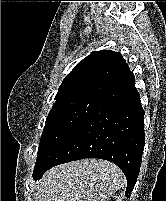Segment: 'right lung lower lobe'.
I'll return each mask as SVG.
<instances>
[{
	"mask_svg": "<svg viewBox=\"0 0 166 201\" xmlns=\"http://www.w3.org/2000/svg\"><path fill=\"white\" fill-rule=\"evenodd\" d=\"M145 144L144 110L130 73L33 174L35 180L53 166L84 158H99L121 168L126 197L136 183Z\"/></svg>",
	"mask_w": 166,
	"mask_h": 201,
	"instance_id": "right-lung-lower-lobe-1",
	"label": "right lung lower lobe"
}]
</instances>
